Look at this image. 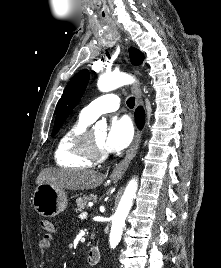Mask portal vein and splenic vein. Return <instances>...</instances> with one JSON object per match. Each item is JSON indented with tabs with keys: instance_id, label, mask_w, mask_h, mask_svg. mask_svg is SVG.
Masks as SVG:
<instances>
[{
	"instance_id": "portal-vein-and-splenic-vein-1",
	"label": "portal vein and splenic vein",
	"mask_w": 221,
	"mask_h": 268,
	"mask_svg": "<svg viewBox=\"0 0 221 268\" xmlns=\"http://www.w3.org/2000/svg\"><path fill=\"white\" fill-rule=\"evenodd\" d=\"M87 215H88L87 212H82V213L80 214V218H86Z\"/></svg>"
}]
</instances>
